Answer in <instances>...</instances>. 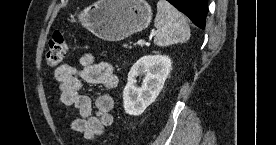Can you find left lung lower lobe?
<instances>
[{"mask_svg": "<svg viewBox=\"0 0 276 145\" xmlns=\"http://www.w3.org/2000/svg\"><path fill=\"white\" fill-rule=\"evenodd\" d=\"M179 11L187 15L199 28H205L208 0H167Z\"/></svg>", "mask_w": 276, "mask_h": 145, "instance_id": "0a47b994", "label": "left lung lower lobe"}]
</instances>
